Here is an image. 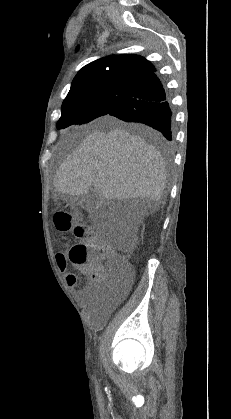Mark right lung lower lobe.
Wrapping results in <instances>:
<instances>
[{"instance_id":"obj_1","label":"right lung lower lobe","mask_w":231,"mask_h":419,"mask_svg":"<svg viewBox=\"0 0 231 419\" xmlns=\"http://www.w3.org/2000/svg\"><path fill=\"white\" fill-rule=\"evenodd\" d=\"M154 72L140 79L130 94L108 115L127 122L146 124L172 141L174 120L171 104Z\"/></svg>"}]
</instances>
